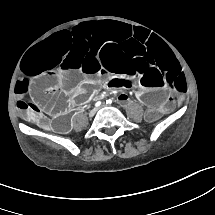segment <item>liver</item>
Instances as JSON below:
<instances>
[{"label":"liver","mask_w":215,"mask_h":215,"mask_svg":"<svg viewBox=\"0 0 215 215\" xmlns=\"http://www.w3.org/2000/svg\"><path fill=\"white\" fill-rule=\"evenodd\" d=\"M42 128L45 129V130H51V128L48 127V126H42Z\"/></svg>","instance_id":"6515ba94"}]
</instances>
